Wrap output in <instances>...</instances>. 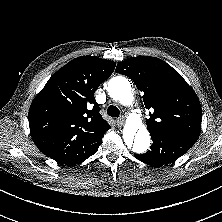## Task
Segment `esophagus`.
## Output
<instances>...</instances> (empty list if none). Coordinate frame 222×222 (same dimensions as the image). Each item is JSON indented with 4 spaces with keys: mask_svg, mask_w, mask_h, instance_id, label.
I'll use <instances>...</instances> for the list:
<instances>
[{
    "mask_svg": "<svg viewBox=\"0 0 222 222\" xmlns=\"http://www.w3.org/2000/svg\"><path fill=\"white\" fill-rule=\"evenodd\" d=\"M124 116H121L120 118L117 119V125L121 127L124 124Z\"/></svg>",
    "mask_w": 222,
    "mask_h": 222,
    "instance_id": "1",
    "label": "esophagus"
}]
</instances>
